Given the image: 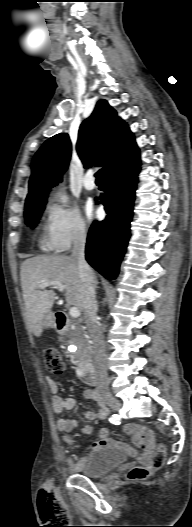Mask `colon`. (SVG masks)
<instances>
[{
	"mask_svg": "<svg viewBox=\"0 0 192 527\" xmlns=\"http://www.w3.org/2000/svg\"><path fill=\"white\" fill-rule=\"evenodd\" d=\"M44 360L47 369L55 374H62L65 370V362L60 355V352L55 347H47L44 350ZM69 441H71L69 439ZM166 457V450L164 445H160L157 449L155 455L153 456L152 462L150 466L143 468V467H135L130 470L128 476L130 479H145L148 476L151 475V473L162 467L164 464ZM40 503L43 507V513L45 514V505L47 503H56L55 497L53 494V489L51 482L47 481L43 484L41 490H40ZM59 509L66 513V509L62 506H59Z\"/></svg>",
	"mask_w": 192,
	"mask_h": 527,
	"instance_id": "5ec220e1",
	"label": "colon"
}]
</instances>
